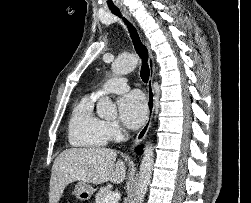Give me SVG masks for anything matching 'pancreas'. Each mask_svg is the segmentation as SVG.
Masks as SVG:
<instances>
[{"label":"pancreas","mask_w":251,"mask_h":203,"mask_svg":"<svg viewBox=\"0 0 251 203\" xmlns=\"http://www.w3.org/2000/svg\"><path fill=\"white\" fill-rule=\"evenodd\" d=\"M110 193H112V191L109 187H101L95 195V203H104L105 197Z\"/></svg>","instance_id":"pancreas-1"}]
</instances>
